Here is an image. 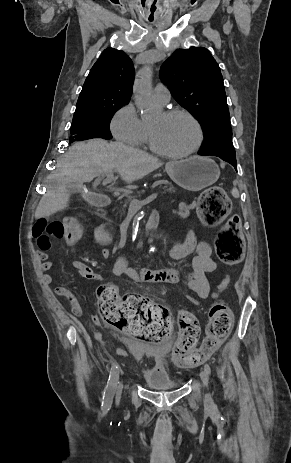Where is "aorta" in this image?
I'll return each mask as SVG.
<instances>
[{"label":"aorta","instance_id":"762f6f07","mask_svg":"<svg viewBox=\"0 0 291 463\" xmlns=\"http://www.w3.org/2000/svg\"><path fill=\"white\" fill-rule=\"evenodd\" d=\"M152 67L147 65L143 67L138 77L135 79L133 93L135 104L141 111L142 117H147L152 110Z\"/></svg>","mask_w":291,"mask_h":463}]
</instances>
